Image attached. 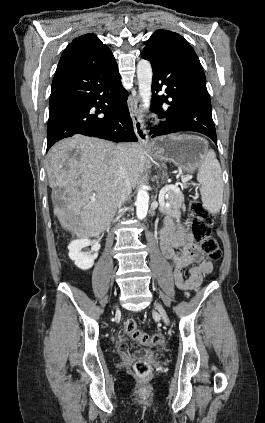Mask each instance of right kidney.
Listing matches in <instances>:
<instances>
[{
	"instance_id": "ca27d5eb",
	"label": "right kidney",
	"mask_w": 265,
	"mask_h": 423,
	"mask_svg": "<svg viewBox=\"0 0 265 423\" xmlns=\"http://www.w3.org/2000/svg\"><path fill=\"white\" fill-rule=\"evenodd\" d=\"M91 245V253L82 252V248ZM100 244L87 238L77 239L71 242L68 246L69 258L74 261V264L82 269L88 270L93 267L94 260L98 257Z\"/></svg>"
}]
</instances>
